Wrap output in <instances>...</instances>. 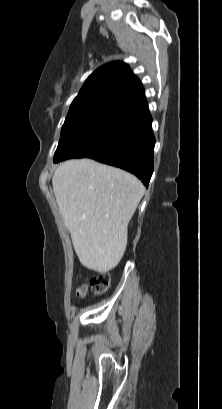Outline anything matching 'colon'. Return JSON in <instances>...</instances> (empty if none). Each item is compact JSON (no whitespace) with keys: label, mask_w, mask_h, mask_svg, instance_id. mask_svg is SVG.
Returning a JSON list of instances; mask_svg holds the SVG:
<instances>
[{"label":"colon","mask_w":222,"mask_h":409,"mask_svg":"<svg viewBox=\"0 0 222 409\" xmlns=\"http://www.w3.org/2000/svg\"><path fill=\"white\" fill-rule=\"evenodd\" d=\"M111 277L107 272L100 273L90 281L93 294L101 295L107 292L110 287ZM83 295V294H80Z\"/></svg>","instance_id":"obj_1"}]
</instances>
